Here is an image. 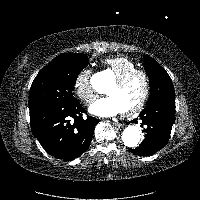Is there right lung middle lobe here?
Listing matches in <instances>:
<instances>
[{
  "label": "right lung middle lobe",
  "mask_w": 200,
  "mask_h": 200,
  "mask_svg": "<svg viewBox=\"0 0 200 200\" xmlns=\"http://www.w3.org/2000/svg\"><path fill=\"white\" fill-rule=\"evenodd\" d=\"M83 54H61L45 66L35 77L29 95V107L42 104H72L78 74L88 65Z\"/></svg>",
  "instance_id": "right-lung-middle-lobe-1"
}]
</instances>
